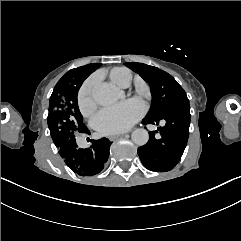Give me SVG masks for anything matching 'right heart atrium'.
Masks as SVG:
<instances>
[{
    "instance_id": "d8ad5b80",
    "label": "right heart atrium",
    "mask_w": 241,
    "mask_h": 241,
    "mask_svg": "<svg viewBox=\"0 0 241 241\" xmlns=\"http://www.w3.org/2000/svg\"><path fill=\"white\" fill-rule=\"evenodd\" d=\"M78 107L84 116L92 114L95 110V102L88 88H82L78 94Z\"/></svg>"
}]
</instances>
